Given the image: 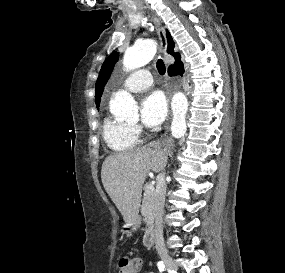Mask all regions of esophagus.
I'll return each mask as SVG.
<instances>
[{
	"label": "esophagus",
	"mask_w": 285,
	"mask_h": 273,
	"mask_svg": "<svg viewBox=\"0 0 285 273\" xmlns=\"http://www.w3.org/2000/svg\"><path fill=\"white\" fill-rule=\"evenodd\" d=\"M153 22L155 24L157 34L160 41V50L166 54L167 50V39H166V31L165 27L162 25V21L156 17H153Z\"/></svg>",
	"instance_id": "esophagus-1"
}]
</instances>
